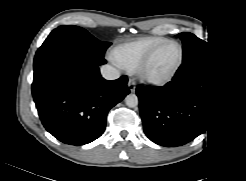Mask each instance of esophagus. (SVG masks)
Returning a JSON list of instances; mask_svg holds the SVG:
<instances>
[{"label": "esophagus", "mask_w": 246, "mask_h": 181, "mask_svg": "<svg viewBox=\"0 0 246 181\" xmlns=\"http://www.w3.org/2000/svg\"><path fill=\"white\" fill-rule=\"evenodd\" d=\"M128 87H129V89H130L131 92H134L135 91V88L136 87H135V83H134L133 80H129Z\"/></svg>", "instance_id": "obj_1"}]
</instances>
